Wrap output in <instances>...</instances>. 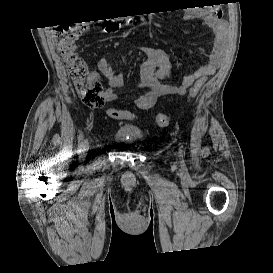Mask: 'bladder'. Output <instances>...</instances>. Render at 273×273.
Wrapping results in <instances>:
<instances>
[{
	"mask_svg": "<svg viewBox=\"0 0 273 273\" xmlns=\"http://www.w3.org/2000/svg\"><path fill=\"white\" fill-rule=\"evenodd\" d=\"M114 139L124 145H136L143 139V134L137 126L121 124L114 133Z\"/></svg>",
	"mask_w": 273,
	"mask_h": 273,
	"instance_id": "obj_1",
	"label": "bladder"
}]
</instances>
